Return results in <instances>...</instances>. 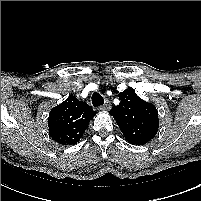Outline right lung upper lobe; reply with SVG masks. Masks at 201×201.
Masks as SVG:
<instances>
[{
    "label": "right lung upper lobe",
    "instance_id": "obj_1",
    "mask_svg": "<svg viewBox=\"0 0 201 201\" xmlns=\"http://www.w3.org/2000/svg\"><path fill=\"white\" fill-rule=\"evenodd\" d=\"M95 115L96 112L87 103L69 95L49 113V135L60 144H76Z\"/></svg>",
    "mask_w": 201,
    "mask_h": 201
}]
</instances>
